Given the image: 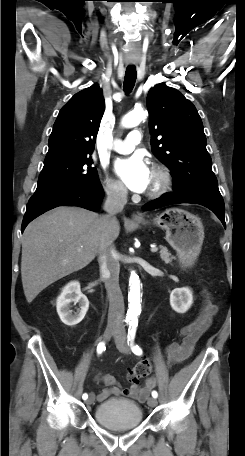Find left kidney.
Masks as SVG:
<instances>
[{
    "mask_svg": "<svg viewBox=\"0 0 245 456\" xmlns=\"http://www.w3.org/2000/svg\"><path fill=\"white\" fill-rule=\"evenodd\" d=\"M193 303L192 291L187 288H176L170 294V305L177 313H185Z\"/></svg>",
    "mask_w": 245,
    "mask_h": 456,
    "instance_id": "obj_1",
    "label": "left kidney"
}]
</instances>
